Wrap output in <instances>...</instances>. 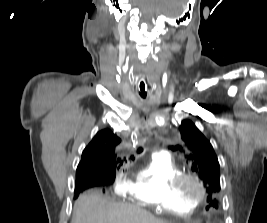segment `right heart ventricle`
<instances>
[{"label": "right heart ventricle", "instance_id": "right-heart-ventricle-1", "mask_svg": "<svg viewBox=\"0 0 267 223\" xmlns=\"http://www.w3.org/2000/svg\"><path fill=\"white\" fill-rule=\"evenodd\" d=\"M183 173L182 168L171 157L156 154L127 182L123 194L130 198L133 205L160 212L190 214L196 204L185 201L172 188L173 180Z\"/></svg>", "mask_w": 267, "mask_h": 223}]
</instances>
